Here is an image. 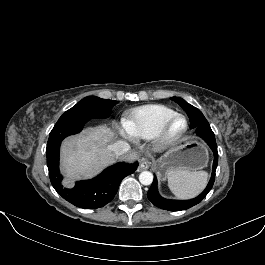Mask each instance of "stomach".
Here are the masks:
<instances>
[{"label": "stomach", "mask_w": 265, "mask_h": 265, "mask_svg": "<svg viewBox=\"0 0 265 265\" xmlns=\"http://www.w3.org/2000/svg\"><path fill=\"white\" fill-rule=\"evenodd\" d=\"M208 150L198 141H186L184 144L167 152L157 164L161 175H167L171 170L195 171L206 167Z\"/></svg>", "instance_id": "obj_1"}]
</instances>
